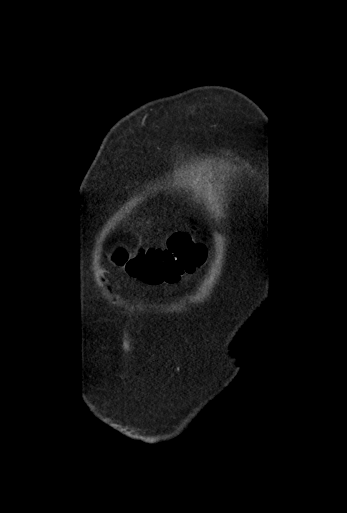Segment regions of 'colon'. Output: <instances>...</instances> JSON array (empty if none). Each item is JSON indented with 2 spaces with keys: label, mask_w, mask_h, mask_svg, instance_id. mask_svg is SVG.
<instances>
[{
  "label": "colon",
  "mask_w": 347,
  "mask_h": 513,
  "mask_svg": "<svg viewBox=\"0 0 347 513\" xmlns=\"http://www.w3.org/2000/svg\"><path fill=\"white\" fill-rule=\"evenodd\" d=\"M206 258V248L189 232L175 233L166 249L149 248L131 256L118 248L113 261L126 269L129 275L144 284H171L200 267Z\"/></svg>",
  "instance_id": "1"
}]
</instances>
